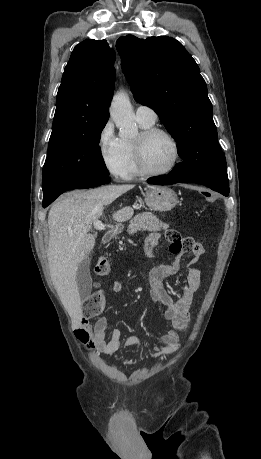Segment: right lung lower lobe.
Segmentation results:
<instances>
[{
	"label": "right lung lower lobe",
	"mask_w": 261,
	"mask_h": 459,
	"mask_svg": "<svg viewBox=\"0 0 261 459\" xmlns=\"http://www.w3.org/2000/svg\"><path fill=\"white\" fill-rule=\"evenodd\" d=\"M110 181L108 177L105 178H98V179H86V180H80L76 181L73 183H70L61 189H59L56 193L53 195L43 198V207H47L50 203H52L60 194H62L65 191L71 190V189H77V188H91L99 185L106 184Z\"/></svg>",
	"instance_id": "right-lung-lower-lobe-1"
}]
</instances>
